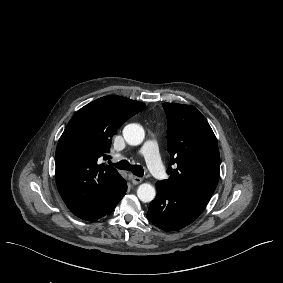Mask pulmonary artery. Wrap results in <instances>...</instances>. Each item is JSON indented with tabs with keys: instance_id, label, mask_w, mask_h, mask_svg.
Segmentation results:
<instances>
[{
	"instance_id": "1",
	"label": "pulmonary artery",
	"mask_w": 283,
	"mask_h": 283,
	"mask_svg": "<svg viewBox=\"0 0 283 283\" xmlns=\"http://www.w3.org/2000/svg\"><path fill=\"white\" fill-rule=\"evenodd\" d=\"M157 151V142L149 139L138 150V153L142 155L143 162L150 169L151 173L154 174L155 178L162 179L165 176V170L161 155L155 154Z\"/></svg>"
}]
</instances>
